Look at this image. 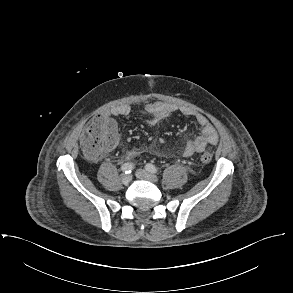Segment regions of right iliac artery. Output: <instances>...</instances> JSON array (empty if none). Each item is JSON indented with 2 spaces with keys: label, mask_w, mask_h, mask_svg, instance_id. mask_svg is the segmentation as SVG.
I'll list each match as a JSON object with an SVG mask.
<instances>
[{
  "label": "right iliac artery",
  "mask_w": 293,
  "mask_h": 293,
  "mask_svg": "<svg viewBox=\"0 0 293 293\" xmlns=\"http://www.w3.org/2000/svg\"><path fill=\"white\" fill-rule=\"evenodd\" d=\"M134 168V165L132 163H124L122 166H121V170L126 173V174H129L132 172Z\"/></svg>",
  "instance_id": "right-iliac-artery-1"
}]
</instances>
